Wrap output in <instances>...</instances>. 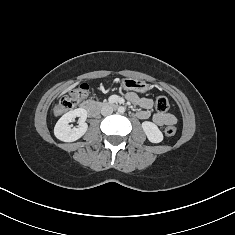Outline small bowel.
Segmentation results:
<instances>
[{"instance_id":"c3829d8e","label":"small bowel","mask_w":235,"mask_h":235,"mask_svg":"<svg viewBox=\"0 0 235 235\" xmlns=\"http://www.w3.org/2000/svg\"><path fill=\"white\" fill-rule=\"evenodd\" d=\"M127 99L134 105L139 106L141 109L137 112V117L140 119H147L150 117V109L153 106V100L149 97H139L136 93H129ZM153 121L158 126L174 124L176 118L171 113H156L153 116Z\"/></svg>"}]
</instances>
